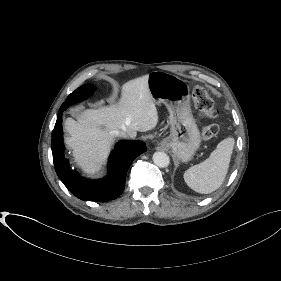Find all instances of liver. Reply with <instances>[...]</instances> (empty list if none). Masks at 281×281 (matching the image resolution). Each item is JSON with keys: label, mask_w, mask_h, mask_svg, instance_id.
I'll return each mask as SVG.
<instances>
[{"label": "liver", "mask_w": 281, "mask_h": 281, "mask_svg": "<svg viewBox=\"0 0 281 281\" xmlns=\"http://www.w3.org/2000/svg\"><path fill=\"white\" fill-rule=\"evenodd\" d=\"M157 123L158 112L149 91L148 75H144L122 86L117 104L85 110L77 121L66 119L65 128L70 134L66 144L72 148L81 169L94 174L106 161L117 130H126L135 137L137 131L152 130Z\"/></svg>", "instance_id": "liver-1"}]
</instances>
